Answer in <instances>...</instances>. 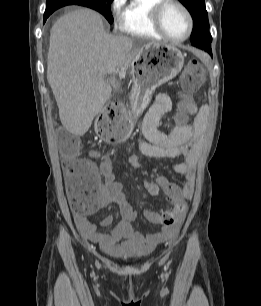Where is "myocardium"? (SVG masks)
<instances>
[{"label": "myocardium", "mask_w": 261, "mask_h": 306, "mask_svg": "<svg viewBox=\"0 0 261 306\" xmlns=\"http://www.w3.org/2000/svg\"><path fill=\"white\" fill-rule=\"evenodd\" d=\"M169 5H174L176 7H178L179 9L182 10V12L184 13L186 19H187V24H188V29H187V33L184 37L182 38H173L171 37L165 30L163 24H162V14L163 11L165 10V8ZM151 22L154 26V28L156 29V31L166 40L173 42V43H181L186 41L193 30V19L191 16L190 11L188 10V8L180 1L178 0H160V2L158 4H156L152 11H151Z\"/></svg>", "instance_id": "f54148a6"}]
</instances>
